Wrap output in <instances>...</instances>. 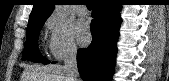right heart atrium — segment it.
<instances>
[{
    "label": "right heart atrium",
    "mask_w": 169,
    "mask_h": 81,
    "mask_svg": "<svg viewBox=\"0 0 169 81\" xmlns=\"http://www.w3.org/2000/svg\"><path fill=\"white\" fill-rule=\"evenodd\" d=\"M46 29L49 32L48 50L54 59L63 60L76 53L77 45L68 22L52 14L46 20Z\"/></svg>",
    "instance_id": "d8ad5b80"
}]
</instances>
